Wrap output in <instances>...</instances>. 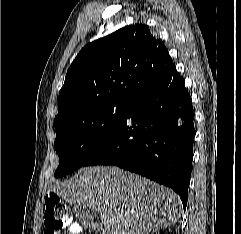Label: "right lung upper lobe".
Here are the masks:
<instances>
[{"label":"right lung upper lobe","mask_w":241,"mask_h":234,"mask_svg":"<svg viewBox=\"0 0 241 234\" xmlns=\"http://www.w3.org/2000/svg\"><path fill=\"white\" fill-rule=\"evenodd\" d=\"M173 65L164 43L145 24L125 26L91 42L67 71L55 130L75 122L90 108L129 104Z\"/></svg>","instance_id":"obj_1"}]
</instances>
